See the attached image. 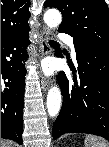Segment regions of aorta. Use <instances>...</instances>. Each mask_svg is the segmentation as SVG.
I'll use <instances>...</instances> for the list:
<instances>
[{"mask_svg":"<svg viewBox=\"0 0 109 147\" xmlns=\"http://www.w3.org/2000/svg\"><path fill=\"white\" fill-rule=\"evenodd\" d=\"M44 21L49 28H55L62 21L61 13L57 9H48L44 14ZM61 108V92L56 86L48 91L47 95V110L51 117H55Z\"/></svg>","mask_w":109,"mask_h":147,"instance_id":"aorta-1","label":"aorta"}]
</instances>
